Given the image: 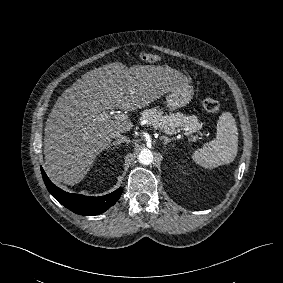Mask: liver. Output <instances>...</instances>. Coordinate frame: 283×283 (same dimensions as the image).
Returning a JSON list of instances; mask_svg holds the SVG:
<instances>
[{"label": "liver", "instance_id": "obj_1", "mask_svg": "<svg viewBox=\"0 0 283 283\" xmlns=\"http://www.w3.org/2000/svg\"><path fill=\"white\" fill-rule=\"evenodd\" d=\"M184 77L163 66L130 68L110 63L85 73L56 101L45 126L46 171L55 182L79 183L96 157L117 133L132 129L131 121L99 120L112 109L135 111L150 105Z\"/></svg>", "mask_w": 283, "mask_h": 283}]
</instances>
